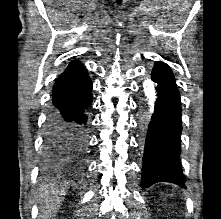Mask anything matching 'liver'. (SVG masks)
Wrapping results in <instances>:
<instances>
[{"label": "liver", "mask_w": 221, "mask_h": 219, "mask_svg": "<svg viewBox=\"0 0 221 219\" xmlns=\"http://www.w3.org/2000/svg\"><path fill=\"white\" fill-rule=\"evenodd\" d=\"M64 190H47L45 189L40 196V211L42 212V219H51L56 215L59 207L64 200Z\"/></svg>", "instance_id": "obj_1"}]
</instances>
